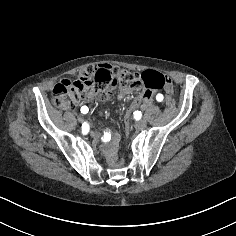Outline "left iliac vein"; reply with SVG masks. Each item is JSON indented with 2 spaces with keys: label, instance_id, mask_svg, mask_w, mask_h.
Listing matches in <instances>:
<instances>
[{
  "label": "left iliac vein",
  "instance_id": "left-iliac-vein-1",
  "mask_svg": "<svg viewBox=\"0 0 236 236\" xmlns=\"http://www.w3.org/2000/svg\"><path fill=\"white\" fill-rule=\"evenodd\" d=\"M146 127V124L144 121L142 120H137L135 123H134V128L137 130V131H142L144 130Z\"/></svg>",
  "mask_w": 236,
  "mask_h": 236
}]
</instances>
